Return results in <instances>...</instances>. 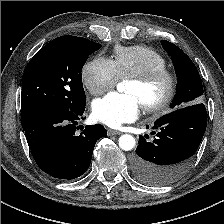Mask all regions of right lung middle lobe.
<instances>
[{"mask_svg":"<svg viewBox=\"0 0 224 224\" xmlns=\"http://www.w3.org/2000/svg\"><path fill=\"white\" fill-rule=\"evenodd\" d=\"M100 47L86 38L61 36L40 49L22 77L21 118L41 110H75L85 105L81 71Z\"/></svg>","mask_w":224,"mask_h":224,"instance_id":"1","label":"right lung middle lobe"}]
</instances>
